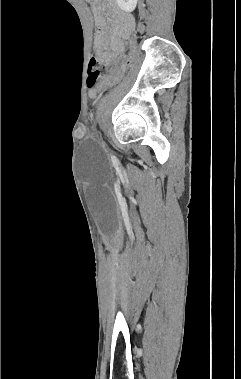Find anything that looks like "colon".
Returning a JSON list of instances; mask_svg holds the SVG:
<instances>
[{"label": "colon", "instance_id": "5ec220e1", "mask_svg": "<svg viewBox=\"0 0 241 379\" xmlns=\"http://www.w3.org/2000/svg\"><path fill=\"white\" fill-rule=\"evenodd\" d=\"M127 40L129 43V56L119 65V72L111 78L112 82L117 81L118 83H123L124 78L126 77L127 68H130L136 62V57L138 56L139 45L137 42V36L135 32L127 33ZM103 70L102 64L99 60L94 56L91 58L89 63V76H88V85L93 87L96 82L101 77ZM111 84L110 82H106L104 85H99L97 87V93L99 99H104L106 96V92L110 90Z\"/></svg>", "mask_w": 241, "mask_h": 379}]
</instances>
